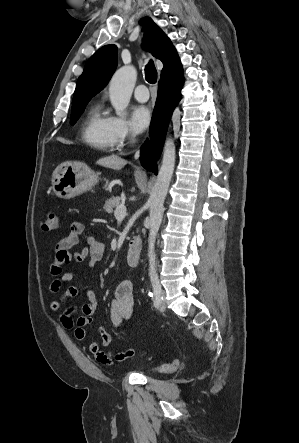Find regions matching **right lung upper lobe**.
I'll return each mask as SVG.
<instances>
[{
	"label": "right lung upper lobe",
	"instance_id": "right-lung-upper-lobe-1",
	"mask_svg": "<svg viewBox=\"0 0 299 443\" xmlns=\"http://www.w3.org/2000/svg\"><path fill=\"white\" fill-rule=\"evenodd\" d=\"M143 38V47L161 60L164 68L161 77L183 72L176 49L164 32L148 18ZM117 67V47L106 45L97 50L87 61L77 81L72 107L89 102L109 82Z\"/></svg>",
	"mask_w": 299,
	"mask_h": 443
}]
</instances>
